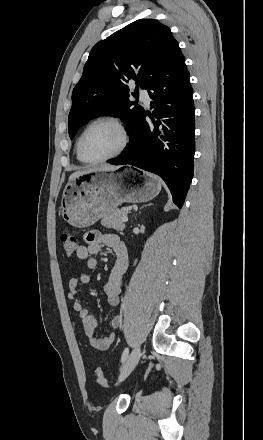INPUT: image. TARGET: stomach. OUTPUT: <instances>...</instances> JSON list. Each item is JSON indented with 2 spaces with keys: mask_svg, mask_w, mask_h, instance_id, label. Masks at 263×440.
Instances as JSON below:
<instances>
[{
  "mask_svg": "<svg viewBox=\"0 0 263 440\" xmlns=\"http://www.w3.org/2000/svg\"><path fill=\"white\" fill-rule=\"evenodd\" d=\"M160 190V179L146 172L92 171L69 179L62 194L60 214L70 225L85 228L122 203L149 201Z\"/></svg>",
  "mask_w": 263,
  "mask_h": 440,
  "instance_id": "stomach-1",
  "label": "stomach"
}]
</instances>
